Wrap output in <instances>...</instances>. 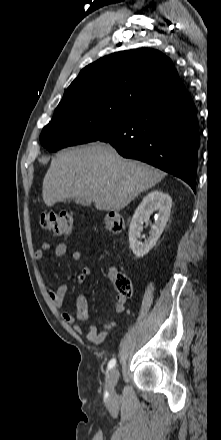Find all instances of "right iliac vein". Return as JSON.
<instances>
[{
	"label": "right iliac vein",
	"mask_w": 221,
	"mask_h": 440,
	"mask_svg": "<svg viewBox=\"0 0 221 440\" xmlns=\"http://www.w3.org/2000/svg\"><path fill=\"white\" fill-rule=\"evenodd\" d=\"M118 378H119L118 370L113 369L110 373L109 380L107 383V390H108L110 397H113V395H114V387L117 384Z\"/></svg>",
	"instance_id": "1"
}]
</instances>
